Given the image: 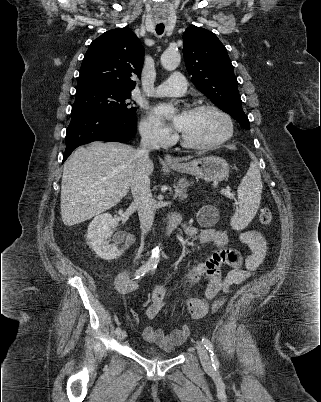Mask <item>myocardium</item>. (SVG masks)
<instances>
[{"mask_svg":"<svg viewBox=\"0 0 321 402\" xmlns=\"http://www.w3.org/2000/svg\"><path fill=\"white\" fill-rule=\"evenodd\" d=\"M201 110H213L215 112H217L218 114H220L227 125V129L225 134L220 137L218 140L210 142V143H196V142H192L189 139H187V137L181 133L180 134V140L183 146L190 148V149H196V150H210V149H215L218 148L220 146H222L223 144H225L227 141H229L233 134H234V122L232 117L230 116L229 113H227L224 109H222L221 107L212 104V103H202V104H198L193 106L190 111L191 112H196V111H201Z\"/></svg>","mask_w":321,"mask_h":402,"instance_id":"f54148a6","label":"myocardium"}]
</instances>
